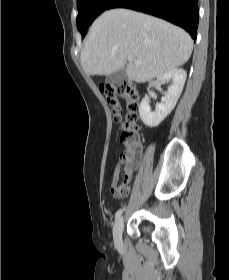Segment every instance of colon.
Listing matches in <instances>:
<instances>
[{"instance_id": "1", "label": "colon", "mask_w": 229, "mask_h": 280, "mask_svg": "<svg viewBox=\"0 0 229 280\" xmlns=\"http://www.w3.org/2000/svg\"><path fill=\"white\" fill-rule=\"evenodd\" d=\"M101 91L104 94L107 104L111 107L112 118L115 122L121 123L122 131L119 141L125 147V153L121 160L128 166L132 156L138 151V107L141 91L130 80L121 83L103 85ZM120 99L126 103L125 109L120 105ZM113 192H125L129 190L126 181L114 184L111 187Z\"/></svg>"}]
</instances>
